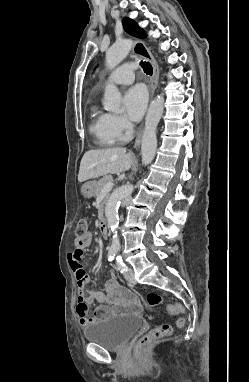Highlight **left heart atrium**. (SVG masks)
Here are the masks:
<instances>
[{"label":"left heart atrium","mask_w":249,"mask_h":382,"mask_svg":"<svg viewBox=\"0 0 249 382\" xmlns=\"http://www.w3.org/2000/svg\"><path fill=\"white\" fill-rule=\"evenodd\" d=\"M147 93L142 86L130 88L123 99L126 116L132 121H139L147 106Z\"/></svg>","instance_id":"39dd6f15"}]
</instances>
